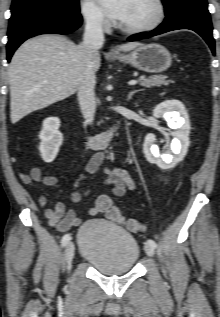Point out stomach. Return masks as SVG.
<instances>
[{"label":"stomach","mask_w":220,"mask_h":317,"mask_svg":"<svg viewBox=\"0 0 220 317\" xmlns=\"http://www.w3.org/2000/svg\"><path fill=\"white\" fill-rule=\"evenodd\" d=\"M114 58L149 73L166 71L172 63L170 52L156 43L141 45L128 55H119Z\"/></svg>","instance_id":"1"}]
</instances>
